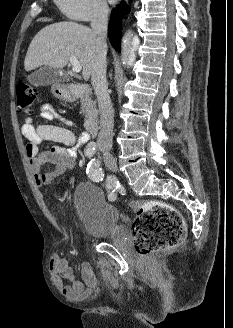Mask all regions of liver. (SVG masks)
Instances as JSON below:
<instances>
[{
	"label": "liver",
	"mask_w": 233,
	"mask_h": 328,
	"mask_svg": "<svg viewBox=\"0 0 233 328\" xmlns=\"http://www.w3.org/2000/svg\"><path fill=\"white\" fill-rule=\"evenodd\" d=\"M99 50L97 35L89 27L72 21L53 23L41 29L31 41L24 67L26 71L43 65L63 68L75 56L83 68V78L88 80Z\"/></svg>",
	"instance_id": "obj_1"
}]
</instances>
